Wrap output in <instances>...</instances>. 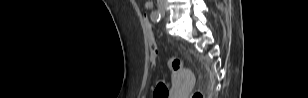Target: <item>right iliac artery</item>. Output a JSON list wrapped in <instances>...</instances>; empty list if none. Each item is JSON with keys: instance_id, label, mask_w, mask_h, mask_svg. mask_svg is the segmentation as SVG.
<instances>
[{"instance_id": "1", "label": "right iliac artery", "mask_w": 308, "mask_h": 98, "mask_svg": "<svg viewBox=\"0 0 308 98\" xmlns=\"http://www.w3.org/2000/svg\"><path fill=\"white\" fill-rule=\"evenodd\" d=\"M150 17L153 22H159L161 19V14L158 11H153Z\"/></svg>"}]
</instances>
